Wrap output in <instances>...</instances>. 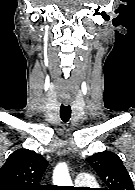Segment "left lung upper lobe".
<instances>
[{
  "label": "left lung upper lobe",
  "instance_id": "5c2ea615",
  "mask_svg": "<svg viewBox=\"0 0 135 190\" xmlns=\"http://www.w3.org/2000/svg\"><path fill=\"white\" fill-rule=\"evenodd\" d=\"M87 162L106 183L105 190H134L132 180L121 159L110 151L95 153Z\"/></svg>",
  "mask_w": 135,
  "mask_h": 190
}]
</instances>
